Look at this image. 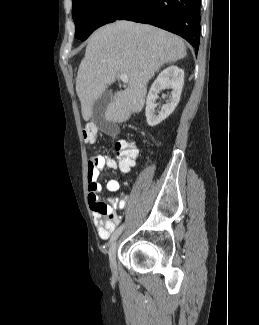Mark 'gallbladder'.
I'll use <instances>...</instances> for the list:
<instances>
[{
	"mask_svg": "<svg viewBox=\"0 0 259 325\" xmlns=\"http://www.w3.org/2000/svg\"><path fill=\"white\" fill-rule=\"evenodd\" d=\"M111 99H112L111 93L106 92L102 96H100L93 104L92 118L96 123H98L101 129L104 132H106V135L116 136L117 135L116 126H113V124L107 122L104 119V112L106 111L107 106L110 104Z\"/></svg>",
	"mask_w": 259,
	"mask_h": 325,
	"instance_id": "bac80fb5",
	"label": "gallbladder"
}]
</instances>
